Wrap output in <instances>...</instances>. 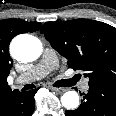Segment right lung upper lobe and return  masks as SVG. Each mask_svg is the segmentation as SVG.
Here are the masks:
<instances>
[{
	"label": "right lung upper lobe",
	"instance_id": "obj_1",
	"mask_svg": "<svg viewBox=\"0 0 116 116\" xmlns=\"http://www.w3.org/2000/svg\"><path fill=\"white\" fill-rule=\"evenodd\" d=\"M41 23L27 22L20 19H5L0 21V101L12 89L7 83L13 60L9 55V44L13 37L26 32H35L39 30Z\"/></svg>",
	"mask_w": 116,
	"mask_h": 116
}]
</instances>
